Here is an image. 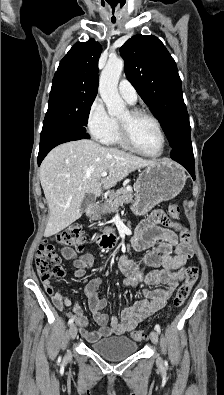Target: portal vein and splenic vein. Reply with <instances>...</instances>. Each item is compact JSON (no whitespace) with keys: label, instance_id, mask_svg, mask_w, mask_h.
<instances>
[{"label":"portal vein and splenic vein","instance_id":"18ae733b","mask_svg":"<svg viewBox=\"0 0 224 395\" xmlns=\"http://www.w3.org/2000/svg\"><path fill=\"white\" fill-rule=\"evenodd\" d=\"M101 176H102V177H106V176H107V172H105V171L102 172Z\"/></svg>","mask_w":224,"mask_h":395}]
</instances>
